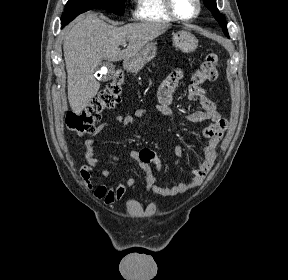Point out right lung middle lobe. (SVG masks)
Returning <instances> with one entry per match:
<instances>
[{
    "label": "right lung middle lobe",
    "instance_id": "dd1d6c3e",
    "mask_svg": "<svg viewBox=\"0 0 288 280\" xmlns=\"http://www.w3.org/2000/svg\"><path fill=\"white\" fill-rule=\"evenodd\" d=\"M125 0H68L61 21L78 16L91 9H105L117 15H123Z\"/></svg>",
    "mask_w": 288,
    "mask_h": 280
}]
</instances>
